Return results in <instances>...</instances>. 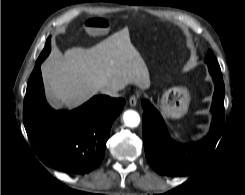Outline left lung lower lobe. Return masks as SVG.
Here are the masks:
<instances>
[{
  "instance_id": "0a47b994",
  "label": "left lung lower lobe",
  "mask_w": 245,
  "mask_h": 195,
  "mask_svg": "<svg viewBox=\"0 0 245 195\" xmlns=\"http://www.w3.org/2000/svg\"><path fill=\"white\" fill-rule=\"evenodd\" d=\"M212 78L215 90L211 106L213 114L211 129L208 135L199 142L190 144L174 142L160 113L149 101L142 102L146 159L157 173L167 176L191 174L212 153L223 131L225 95L222 76L212 75Z\"/></svg>"
}]
</instances>
